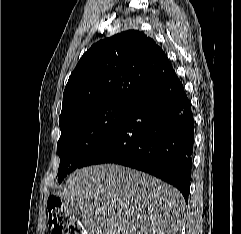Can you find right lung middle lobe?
<instances>
[{
  "mask_svg": "<svg viewBox=\"0 0 241 234\" xmlns=\"http://www.w3.org/2000/svg\"><path fill=\"white\" fill-rule=\"evenodd\" d=\"M131 103L107 102L76 110L59 122L58 182L80 167L84 158L121 122Z\"/></svg>",
  "mask_w": 241,
  "mask_h": 234,
  "instance_id": "dd1d6c3e",
  "label": "right lung middle lobe"
}]
</instances>
